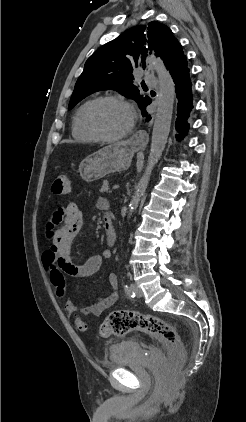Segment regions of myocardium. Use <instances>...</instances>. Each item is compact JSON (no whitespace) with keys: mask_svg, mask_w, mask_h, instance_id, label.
Segmentation results:
<instances>
[{"mask_svg":"<svg viewBox=\"0 0 246 422\" xmlns=\"http://www.w3.org/2000/svg\"><path fill=\"white\" fill-rule=\"evenodd\" d=\"M109 101L117 102L119 104L124 105L129 110L130 116H131V120H130V124L128 128L121 134H118L115 136H107V135L102 134L100 131L97 130V128L94 126L92 122V112L95 109V107L103 102H109ZM83 120H84L85 128L96 139V141L104 142V143H113V142H117L126 138L132 133L135 126V122H136V113L132 104L126 99H124L123 97L118 96V95H105V96H100V97L95 98L88 104L84 112Z\"/></svg>","mask_w":246,"mask_h":422,"instance_id":"f54148a6","label":"myocardium"}]
</instances>
